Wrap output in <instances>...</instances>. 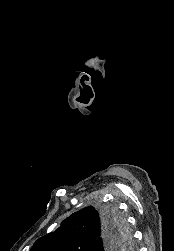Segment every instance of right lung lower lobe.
<instances>
[{
  "mask_svg": "<svg viewBox=\"0 0 174 251\" xmlns=\"http://www.w3.org/2000/svg\"><path fill=\"white\" fill-rule=\"evenodd\" d=\"M119 230L116 225L112 224L106 218L103 220V225H102V235H101V245L102 247L106 248L104 251H119V250H114L112 249V244L115 240V237L117 236ZM100 245L97 247L98 248ZM121 250V249H120Z\"/></svg>",
  "mask_w": 174,
  "mask_h": 251,
  "instance_id": "98d812e1",
  "label": "right lung lower lobe"
}]
</instances>
